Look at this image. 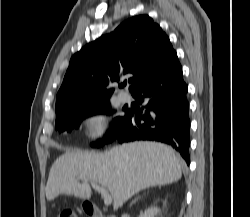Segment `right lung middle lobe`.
<instances>
[{"label": "right lung middle lobe", "mask_w": 250, "mask_h": 217, "mask_svg": "<svg viewBox=\"0 0 250 217\" xmlns=\"http://www.w3.org/2000/svg\"><path fill=\"white\" fill-rule=\"evenodd\" d=\"M98 113L110 114L111 113L110 102L109 101L101 102L63 115L62 117L56 119L55 128L59 130V132L63 131L71 132L74 128L79 127L81 121L85 117ZM127 118H128V111H125V116L115 118L114 129L109 130V132L105 135L103 141H98L97 143L92 145L99 147L103 145V143H109L114 139H116Z\"/></svg>", "instance_id": "obj_1"}]
</instances>
